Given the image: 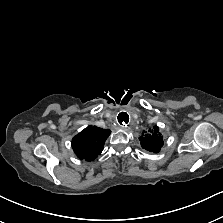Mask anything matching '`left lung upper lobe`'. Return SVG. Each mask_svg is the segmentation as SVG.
Wrapping results in <instances>:
<instances>
[{"instance_id":"5c2ea615","label":"left lung upper lobe","mask_w":223,"mask_h":223,"mask_svg":"<svg viewBox=\"0 0 223 223\" xmlns=\"http://www.w3.org/2000/svg\"><path fill=\"white\" fill-rule=\"evenodd\" d=\"M139 140L142 148L154 153H158L164 144L162 135L157 126L153 127V129H149L148 132L144 131L142 136L139 137Z\"/></svg>"}]
</instances>
